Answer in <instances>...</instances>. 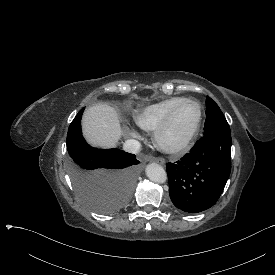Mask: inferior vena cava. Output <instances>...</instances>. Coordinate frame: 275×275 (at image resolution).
I'll list each match as a JSON object with an SVG mask.
<instances>
[{"instance_id":"1","label":"inferior vena cava","mask_w":275,"mask_h":275,"mask_svg":"<svg viewBox=\"0 0 275 275\" xmlns=\"http://www.w3.org/2000/svg\"><path fill=\"white\" fill-rule=\"evenodd\" d=\"M141 144L139 141L130 139L123 144V149L126 152L137 154L140 151Z\"/></svg>"}]
</instances>
